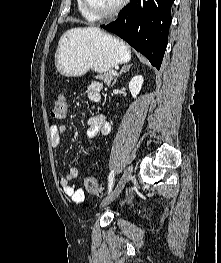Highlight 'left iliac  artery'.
<instances>
[{
  "mask_svg": "<svg viewBox=\"0 0 221 263\" xmlns=\"http://www.w3.org/2000/svg\"><path fill=\"white\" fill-rule=\"evenodd\" d=\"M114 184V171H111L108 179V193L111 192Z\"/></svg>",
  "mask_w": 221,
  "mask_h": 263,
  "instance_id": "1",
  "label": "left iliac artery"
}]
</instances>
